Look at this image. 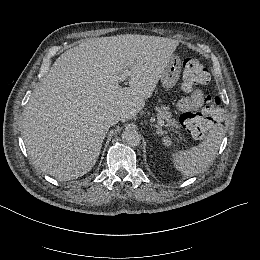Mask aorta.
<instances>
[{"instance_id": "762f6f07", "label": "aorta", "mask_w": 260, "mask_h": 260, "mask_svg": "<svg viewBox=\"0 0 260 260\" xmlns=\"http://www.w3.org/2000/svg\"><path fill=\"white\" fill-rule=\"evenodd\" d=\"M122 141L130 146H138L141 136L134 128H126L122 133Z\"/></svg>"}]
</instances>
